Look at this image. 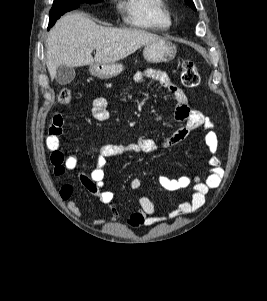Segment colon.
Listing matches in <instances>:
<instances>
[{"instance_id": "1", "label": "colon", "mask_w": 267, "mask_h": 301, "mask_svg": "<svg viewBox=\"0 0 267 301\" xmlns=\"http://www.w3.org/2000/svg\"><path fill=\"white\" fill-rule=\"evenodd\" d=\"M200 76L193 61H184L181 67V82L184 86L193 88L198 85ZM72 100V93L68 88H63L58 93V101L68 104Z\"/></svg>"}]
</instances>
